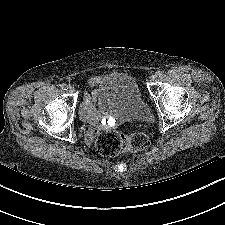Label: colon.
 Here are the masks:
<instances>
[{"label": "colon", "instance_id": "obj_1", "mask_svg": "<svg viewBox=\"0 0 225 225\" xmlns=\"http://www.w3.org/2000/svg\"><path fill=\"white\" fill-rule=\"evenodd\" d=\"M95 146L101 155L113 157L121 153L144 151L150 146V141L142 132L125 135L120 132L107 131L97 137Z\"/></svg>", "mask_w": 225, "mask_h": 225}]
</instances>
